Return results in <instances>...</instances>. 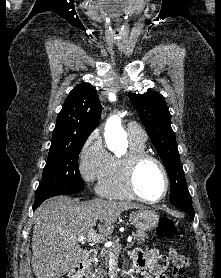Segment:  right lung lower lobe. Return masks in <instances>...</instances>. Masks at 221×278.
<instances>
[{
  "instance_id": "obj_1",
  "label": "right lung lower lobe",
  "mask_w": 221,
  "mask_h": 278,
  "mask_svg": "<svg viewBox=\"0 0 221 278\" xmlns=\"http://www.w3.org/2000/svg\"><path fill=\"white\" fill-rule=\"evenodd\" d=\"M80 191H82V190H80V189H69V188L60 189V190L54 191L48 198L56 196V195H70V194H74V193H77V192H80ZM43 201L44 200L39 201V202H35L34 205H33V210L36 209Z\"/></svg>"
}]
</instances>
